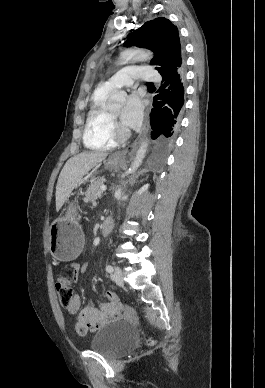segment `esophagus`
<instances>
[{
    "label": "esophagus",
    "instance_id": "obj_1",
    "mask_svg": "<svg viewBox=\"0 0 265 388\" xmlns=\"http://www.w3.org/2000/svg\"><path fill=\"white\" fill-rule=\"evenodd\" d=\"M149 113H150V110H147L145 113V120H144L143 128H142L140 134L138 135L137 140H135V142L132 143L129 147L124 148V150L115 154V156L120 158L122 161L127 162L130 158L133 157V155L136 151L137 145L139 143V140L144 136V134L146 133L147 127L149 125Z\"/></svg>",
    "mask_w": 265,
    "mask_h": 388
}]
</instances>
